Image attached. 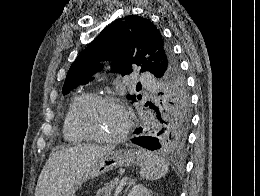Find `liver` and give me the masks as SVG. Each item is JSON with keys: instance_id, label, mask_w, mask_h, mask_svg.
Wrapping results in <instances>:
<instances>
[{"instance_id": "6515ba94", "label": "liver", "mask_w": 260, "mask_h": 196, "mask_svg": "<svg viewBox=\"0 0 260 196\" xmlns=\"http://www.w3.org/2000/svg\"><path fill=\"white\" fill-rule=\"evenodd\" d=\"M108 150H113L112 146L79 144L55 152L39 176L34 196H63Z\"/></svg>"}]
</instances>
